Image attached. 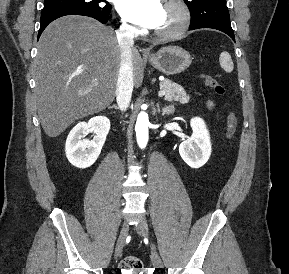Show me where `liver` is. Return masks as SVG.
<instances>
[{
  "mask_svg": "<svg viewBox=\"0 0 289 274\" xmlns=\"http://www.w3.org/2000/svg\"><path fill=\"white\" fill-rule=\"evenodd\" d=\"M34 59L38 116L47 136L101 112L116 95L121 51L110 28L83 16H65L42 33ZM135 86L143 80L142 58L132 47Z\"/></svg>",
  "mask_w": 289,
  "mask_h": 274,
  "instance_id": "1",
  "label": "liver"
}]
</instances>
